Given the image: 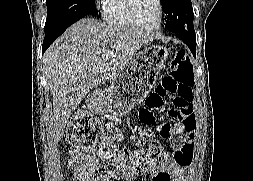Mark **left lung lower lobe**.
Returning <instances> with one entry per match:
<instances>
[{"label":"left lung lower lobe","instance_id":"0a47b994","mask_svg":"<svg viewBox=\"0 0 253 181\" xmlns=\"http://www.w3.org/2000/svg\"><path fill=\"white\" fill-rule=\"evenodd\" d=\"M174 35H176L179 39H181L184 43H186V45L191 50L192 54L194 56L196 55V39H195V37L177 34V33H174Z\"/></svg>","mask_w":253,"mask_h":181}]
</instances>
